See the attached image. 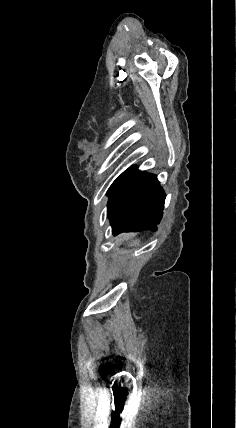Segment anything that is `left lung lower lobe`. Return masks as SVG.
Wrapping results in <instances>:
<instances>
[{"instance_id":"1","label":"left lung lower lobe","mask_w":236,"mask_h":428,"mask_svg":"<svg viewBox=\"0 0 236 428\" xmlns=\"http://www.w3.org/2000/svg\"><path fill=\"white\" fill-rule=\"evenodd\" d=\"M108 195L107 215L113 235L157 229L166 195L155 175L132 166Z\"/></svg>"}]
</instances>
